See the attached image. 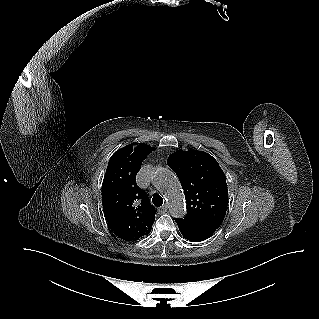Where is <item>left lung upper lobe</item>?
<instances>
[{"label": "left lung upper lobe", "instance_id": "obj_1", "mask_svg": "<svg viewBox=\"0 0 319 319\" xmlns=\"http://www.w3.org/2000/svg\"><path fill=\"white\" fill-rule=\"evenodd\" d=\"M184 190L187 215L184 220L218 229L228 206L226 176L218 162L203 151L178 150L167 160Z\"/></svg>", "mask_w": 319, "mask_h": 319}]
</instances>
